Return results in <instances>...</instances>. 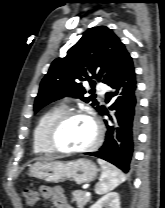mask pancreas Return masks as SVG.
Instances as JSON below:
<instances>
[{
  "label": "pancreas",
  "mask_w": 165,
  "mask_h": 208,
  "mask_svg": "<svg viewBox=\"0 0 165 208\" xmlns=\"http://www.w3.org/2000/svg\"><path fill=\"white\" fill-rule=\"evenodd\" d=\"M73 199L76 201L78 208H83L88 201H90V196L85 195V191L76 190L72 192Z\"/></svg>",
  "instance_id": "pancreas-1"
}]
</instances>
